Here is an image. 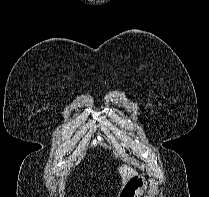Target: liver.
I'll list each match as a JSON object with an SVG mask.
<instances>
[{"label":"liver","instance_id":"6515ba94","mask_svg":"<svg viewBox=\"0 0 209 197\" xmlns=\"http://www.w3.org/2000/svg\"><path fill=\"white\" fill-rule=\"evenodd\" d=\"M119 174L122 178L123 184H125L131 177L136 175V171L126 165H122L118 168Z\"/></svg>","mask_w":209,"mask_h":197}]
</instances>
